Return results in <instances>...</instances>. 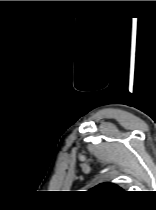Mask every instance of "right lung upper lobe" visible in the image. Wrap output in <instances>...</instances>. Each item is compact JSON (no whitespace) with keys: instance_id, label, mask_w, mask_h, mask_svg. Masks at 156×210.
I'll return each instance as SVG.
<instances>
[{"instance_id":"obj_1","label":"right lung upper lobe","mask_w":156,"mask_h":210,"mask_svg":"<svg viewBox=\"0 0 156 210\" xmlns=\"http://www.w3.org/2000/svg\"><path fill=\"white\" fill-rule=\"evenodd\" d=\"M92 191L96 192H120L122 189H120L117 185L112 183H103L99 184L98 186L94 187Z\"/></svg>"}]
</instances>
